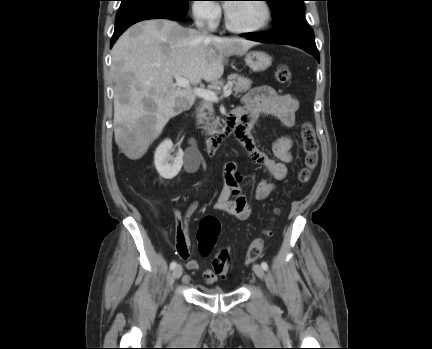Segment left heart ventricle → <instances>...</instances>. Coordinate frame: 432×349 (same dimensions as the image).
Wrapping results in <instances>:
<instances>
[{
    "mask_svg": "<svg viewBox=\"0 0 432 349\" xmlns=\"http://www.w3.org/2000/svg\"><path fill=\"white\" fill-rule=\"evenodd\" d=\"M230 20L235 26L250 28L259 25L264 17L265 11L260 2H238L230 3L227 9Z\"/></svg>",
    "mask_w": 432,
    "mask_h": 349,
    "instance_id": "1",
    "label": "left heart ventricle"
}]
</instances>
